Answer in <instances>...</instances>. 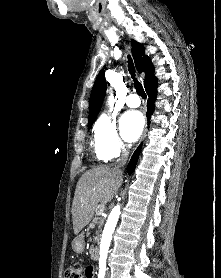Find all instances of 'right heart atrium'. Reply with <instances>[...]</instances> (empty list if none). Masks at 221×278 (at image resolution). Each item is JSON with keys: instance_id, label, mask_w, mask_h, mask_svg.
<instances>
[{"instance_id": "1", "label": "right heart atrium", "mask_w": 221, "mask_h": 278, "mask_svg": "<svg viewBox=\"0 0 221 278\" xmlns=\"http://www.w3.org/2000/svg\"><path fill=\"white\" fill-rule=\"evenodd\" d=\"M95 146L108 160L119 157L126 146L123 143L116 120L108 115L99 118L95 125Z\"/></svg>"}]
</instances>
